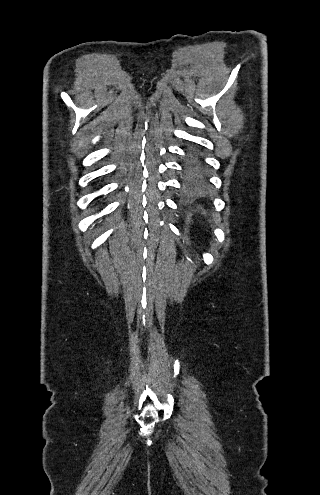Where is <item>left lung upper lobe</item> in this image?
<instances>
[{
	"label": "left lung upper lobe",
	"mask_w": 320,
	"mask_h": 495,
	"mask_svg": "<svg viewBox=\"0 0 320 495\" xmlns=\"http://www.w3.org/2000/svg\"><path fill=\"white\" fill-rule=\"evenodd\" d=\"M198 167V161L195 158L190 159V162L187 164V170L194 171Z\"/></svg>",
	"instance_id": "5c2ea615"
}]
</instances>
